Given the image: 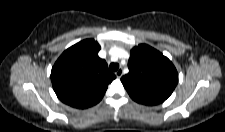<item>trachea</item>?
Segmentation results:
<instances>
[{
	"label": "trachea",
	"mask_w": 225,
	"mask_h": 132,
	"mask_svg": "<svg viewBox=\"0 0 225 132\" xmlns=\"http://www.w3.org/2000/svg\"><path fill=\"white\" fill-rule=\"evenodd\" d=\"M118 68H119V64H117V63H111L110 64V70L111 71L115 72V71L118 70Z\"/></svg>",
	"instance_id": "1"
}]
</instances>
